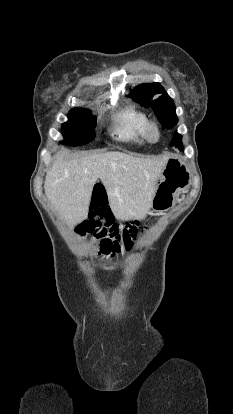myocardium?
<instances>
[{
  "mask_svg": "<svg viewBox=\"0 0 233 414\" xmlns=\"http://www.w3.org/2000/svg\"><path fill=\"white\" fill-rule=\"evenodd\" d=\"M147 136L150 141H157L159 139L160 129L155 122H149L147 126Z\"/></svg>",
  "mask_w": 233,
  "mask_h": 414,
  "instance_id": "1",
  "label": "myocardium"
}]
</instances>
